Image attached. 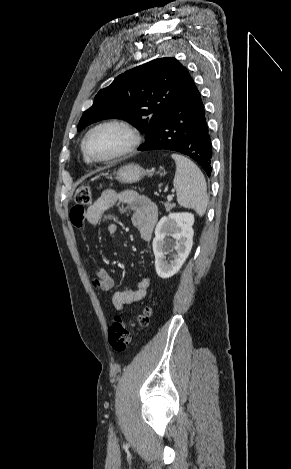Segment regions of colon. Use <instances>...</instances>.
I'll list each match as a JSON object with an SVG mask.
<instances>
[{
    "label": "colon",
    "mask_w": 291,
    "mask_h": 469,
    "mask_svg": "<svg viewBox=\"0 0 291 469\" xmlns=\"http://www.w3.org/2000/svg\"><path fill=\"white\" fill-rule=\"evenodd\" d=\"M77 206L71 211V214L77 217L84 206L92 202V191L88 186H79L75 193ZM151 309L144 307L134 318L125 320L121 316H115L114 321L108 327V340L111 347L116 352H123L131 342V328L134 326H146L149 322Z\"/></svg>",
    "instance_id": "1"
}]
</instances>
